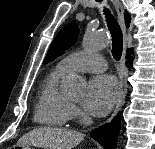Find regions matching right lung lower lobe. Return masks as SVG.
I'll use <instances>...</instances> for the list:
<instances>
[{
    "label": "right lung lower lobe",
    "mask_w": 155,
    "mask_h": 149,
    "mask_svg": "<svg viewBox=\"0 0 155 149\" xmlns=\"http://www.w3.org/2000/svg\"><path fill=\"white\" fill-rule=\"evenodd\" d=\"M128 66L132 64V58L128 55ZM120 129V114L111 123L105 124L91 132V137L99 142L105 149H115Z\"/></svg>",
    "instance_id": "obj_1"
}]
</instances>
